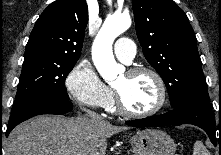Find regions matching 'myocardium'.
Here are the masks:
<instances>
[{
	"instance_id": "myocardium-1",
	"label": "myocardium",
	"mask_w": 221,
	"mask_h": 155,
	"mask_svg": "<svg viewBox=\"0 0 221 155\" xmlns=\"http://www.w3.org/2000/svg\"><path fill=\"white\" fill-rule=\"evenodd\" d=\"M126 73L129 76H135V75L143 74V73L151 75L155 79L157 86H158L159 100L156 106L152 108L151 110L146 111V112H135V111L130 110L125 105L120 92L117 89L113 88L114 101H115L117 110L121 114L128 116V117H133V118H147V117L154 116L158 112H160L162 108L164 107L166 100H167L166 84L162 76L156 70L150 67H145V66H138V67L130 68L126 71Z\"/></svg>"
}]
</instances>
